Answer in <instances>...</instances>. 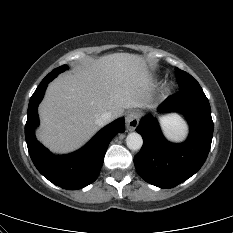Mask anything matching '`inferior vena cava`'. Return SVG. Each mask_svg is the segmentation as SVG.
<instances>
[{"label":"inferior vena cava","mask_w":233,"mask_h":233,"mask_svg":"<svg viewBox=\"0 0 233 233\" xmlns=\"http://www.w3.org/2000/svg\"><path fill=\"white\" fill-rule=\"evenodd\" d=\"M113 119L112 113L111 112H105L101 114L97 119H96V124L98 126H104L107 123H109Z\"/></svg>","instance_id":"602c4592"}]
</instances>
